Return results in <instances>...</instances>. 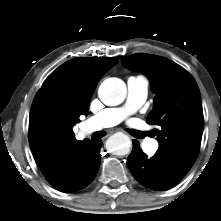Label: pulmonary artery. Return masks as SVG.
Segmentation results:
<instances>
[{
    "mask_svg": "<svg viewBox=\"0 0 221 221\" xmlns=\"http://www.w3.org/2000/svg\"><path fill=\"white\" fill-rule=\"evenodd\" d=\"M149 82L144 76H131L127 80V99L123 106L106 108L91 116L87 122V131L92 132L102 128L112 127L141 107L148 95ZM142 147L147 153H154L158 148V142L147 139Z\"/></svg>",
    "mask_w": 221,
    "mask_h": 221,
    "instance_id": "1",
    "label": "pulmonary artery"
}]
</instances>
